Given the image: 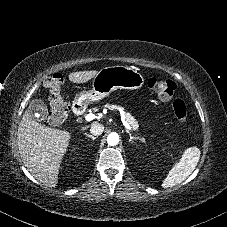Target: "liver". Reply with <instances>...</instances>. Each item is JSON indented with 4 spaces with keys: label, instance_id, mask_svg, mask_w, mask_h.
<instances>
[{
    "label": "liver",
    "instance_id": "liver-1",
    "mask_svg": "<svg viewBox=\"0 0 227 227\" xmlns=\"http://www.w3.org/2000/svg\"><path fill=\"white\" fill-rule=\"evenodd\" d=\"M97 73L96 70L78 71L70 73L68 78L73 83H85ZM85 129L81 128L82 131ZM17 135L19 154L27 170L39 182L55 187L71 134L67 130L50 128L36 122L27 110L19 123Z\"/></svg>",
    "mask_w": 227,
    "mask_h": 227
}]
</instances>
